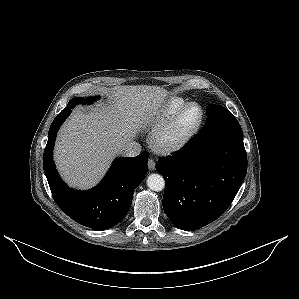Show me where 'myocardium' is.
Segmentation results:
<instances>
[{
	"mask_svg": "<svg viewBox=\"0 0 299 299\" xmlns=\"http://www.w3.org/2000/svg\"><path fill=\"white\" fill-rule=\"evenodd\" d=\"M196 106L200 109V118L197 124L183 137L168 141L167 134L175 125L179 117L182 115L184 111H186L189 107ZM205 118V112L203 107L197 102H188L180 109H178L174 114H172L169 118L165 119L161 122L152 132L151 141L153 146L160 152L169 153L182 149L185 147L191 140L197 135L200 128L203 125Z\"/></svg>",
	"mask_w": 299,
	"mask_h": 299,
	"instance_id": "obj_1",
	"label": "myocardium"
}]
</instances>
